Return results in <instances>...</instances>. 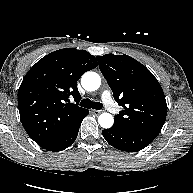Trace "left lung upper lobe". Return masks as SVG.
<instances>
[{"mask_svg": "<svg viewBox=\"0 0 193 193\" xmlns=\"http://www.w3.org/2000/svg\"><path fill=\"white\" fill-rule=\"evenodd\" d=\"M96 59L115 100L124 107L113 126L126 132H160L167 104L154 75L128 55L106 54Z\"/></svg>", "mask_w": 193, "mask_h": 193, "instance_id": "5c2ea615", "label": "left lung upper lobe"}]
</instances>
